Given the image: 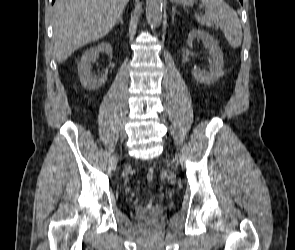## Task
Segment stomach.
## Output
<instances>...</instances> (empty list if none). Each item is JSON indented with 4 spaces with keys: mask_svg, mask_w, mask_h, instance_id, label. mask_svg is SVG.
<instances>
[{
    "mask_svg": "<svg viewBox=\"0 0 295 250\" xmlns=\"http://www.w3.org/2000/svg\"><path fill=\"white\" fill-rule=\"evenodd\" d=\"M174 4H180L183 6H191L194 2V0H171Z\"/></svg>",
    "mask_w": 295,
    "mask_h": 250,
    "instance_id": "stomach-1",
    "label": "stomach"
}]
</instances>
